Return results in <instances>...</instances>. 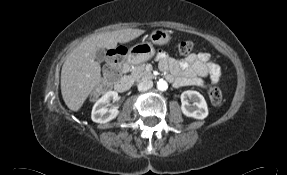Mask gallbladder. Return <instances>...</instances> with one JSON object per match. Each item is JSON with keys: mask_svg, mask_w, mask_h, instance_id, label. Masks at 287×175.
<instances>
[{"mask_svg": "<svg viewBox=\"0 0 287 175\" xmlns=\"http://www.w3.org/2000/svg\"><path fill=\"white\" fill-rule=\"evenodd\" d=\"M106 58V52L103 48H100L96 51V60L101 63Z\"/></svg>", "mask_w": 287, "mask_h": 175, "instance_id": "obj_1", "label": "gallbladder"}]
</instances>
